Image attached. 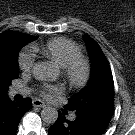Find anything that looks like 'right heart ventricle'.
Returning a JSON list of instances; mask_svg holds the SVG:
<instances>
[{
	"label": "right heart ventricle",
	"instance_id": "e07e8e85",
	"mask_svg": "<svg viewBox=\"0 0 135 135\" xmlns=\"http://www.w3.org/2000/svg\"><path fill=\"white\" fill-rule=\"evenodd\" d=\"M31 49L33 52H41L60 68L65 67L73 59L82 55L81 47L65 37L50 39L43 46L32 44Z\"/></svg>",
	"mask_w": 135,
	"mask_h": 135
}]
</instances>
